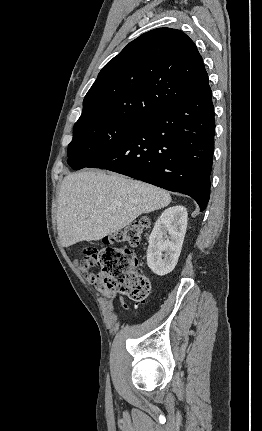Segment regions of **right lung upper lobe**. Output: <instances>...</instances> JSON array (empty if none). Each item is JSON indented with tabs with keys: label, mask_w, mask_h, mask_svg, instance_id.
I'll return each instance as SVG.
<instances>
[{
	"label": "right lung upper lobe",
	"mask_w": 262,
	"mask_h": 431,
	"mask_svg": "<svg viewBox=\"0 0 262 431\" xmlns=\"http://www.w3.org/2000/svg\"><path fill=\"white\" fill-rule=\"evenodd\" d=\"M208 86L202 57L193 41L176 29H154L130 42L103 67L75 124L142 120Z\"/></svg>",
	"instance_id": "obj_1"
}]
</instances>
